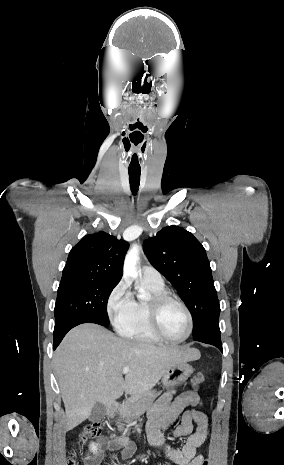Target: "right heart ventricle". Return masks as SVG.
Listing matches in <instances>:
<instances>
[{"instance_id": "1", "label": "right heart ventricle", "mask_w": 284, "mask_h": 465, "mask_svg": "<svg viewBox=\"0 0 284 465\" xmlns=\"http://www.w3.org/2000/svg\"><path fill=\"white\" fill-rule=\"evenodd\" d=\"M145 284L152 296L166 293L164 283ZM148 321V300L134 301L129 313L116 323V328L118 333L127 340L145 345H158L161 341L150 331Z\"/></svg>"}]
</instances>
